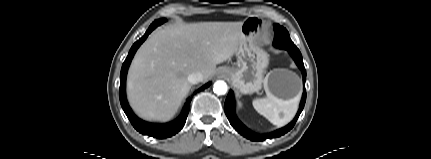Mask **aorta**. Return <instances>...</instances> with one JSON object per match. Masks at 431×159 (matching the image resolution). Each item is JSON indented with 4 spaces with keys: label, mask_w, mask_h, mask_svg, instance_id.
I'll return each instance as SVG.
<instances>
[{
    "label": "aorta",
    "mask_w": 431,
    "mask_h": 159,
    "mask_svg": "<svg viewBox=\"0 0 431 159\" xmlns=\"http://www.w3.org/2000/svg\"><path fill=\"white\" fill-rule=\"evenodd\" d=\"M227 90H228L227 84L223 80H218L213 85V91L217 95H224L226 94Z\"/></svg>",
    "instance_id": "aorta-1"
}]
</instances>
